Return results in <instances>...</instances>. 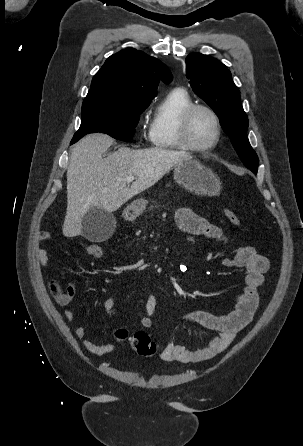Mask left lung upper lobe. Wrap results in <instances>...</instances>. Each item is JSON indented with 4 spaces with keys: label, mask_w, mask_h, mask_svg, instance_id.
I'll use <instances>...</instances> for the list:
<instances>
[{
    "label": "left lung upper lobe",
    "mask_w": 303,
    "mask_h": 446,
    "mask_svg": "<svg viewBox=\"0 0 303 446\" xmlns=\"http://www.w3.org/2000/svg\"><path fill=\"white\" fill-rule=\"evenodd\" d=\"M187 78L193 91L220 118V124L230 137L244 165L257 173L258 156L248 138V118L240 102V93L228 68L217 59L201 53L186 58Z\"/></svg>",
    "instance_id": "5c2ea615"
}]
</instances>
